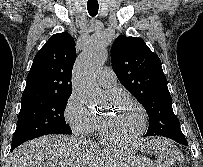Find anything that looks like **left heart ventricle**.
I'll return each mask as SVG.
<instances>
[{"instance_id": "b2bd125f", "label": "left heart ventricle", "mask_w": 203, "mask_h": 167, "mask_svg": "<svg viewBox=\"0 0 203 167\" xmlns=\"http://www.w3.org/2000/svg\"><path fill=\"white\" fill-rule=\"evenodd\" d=\"M112 108L102 114L112 134L128 138L133 136L141 126L140 112L122 98H114Z\"/></svg>"}]
</instances>
